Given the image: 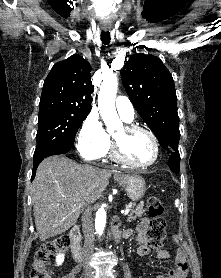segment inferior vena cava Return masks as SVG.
I'll return each instance as SVG.
<instances>
[{
    "label": "inferior vena cava",
    "instance_id": "1",
    "mask_svg": "<svg viewBox=\"0 0 221 278\" xmlns=\"http://www.w3.org/2000/svg\"><path fill=\"white\" fill-rule=\"evenodd\" d=\"M82 228L84 233V256L86 258L90 257L94 251V224L91 213L90 203H87L83 207L82 215ZM86 270H90L88 265L85 266Z\"/></svg>",
    "mask_w": 221,
    "mask_h": 278
}]
</instances>
